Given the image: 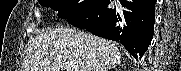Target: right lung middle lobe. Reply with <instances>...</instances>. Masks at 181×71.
<instances>
[{
    "label": "right lung middle lobe",
    "instance_id": "1",
    "mask_svg": "<svg viewBox=\"0 0 181 71\" xmlns=\"http://www.w3.org/2000/svg\"><path fill=\"white\" fill-rule=\"evenodd\" d=\"M97 0H40L44 7L58 11V17L67 19L88 10Z\"/></svg>",
    "mask_w": 181,
    "mask_h": 71
}]
</instances>
